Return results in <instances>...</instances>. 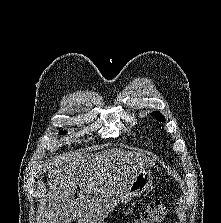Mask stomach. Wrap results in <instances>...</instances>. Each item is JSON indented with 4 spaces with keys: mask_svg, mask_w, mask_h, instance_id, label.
<instances>
[{
    "mask_svg": "<svg viewBox=\"0 0 221 223\" xmlns=\"http://www.w3.org/2000/svg\"><path fill=\"white\" fill-rule=\"evenodd\" d=\"M152 182V173L148 169L139 170L127 190L119 197L117 204H125L132 200V198L143 194Z\"/></svg>",
    "mask_w": 221,
    "mask_h": 223,
    "instance_id": "obj_1",
    "label": "stomach"
}]
</instances>
